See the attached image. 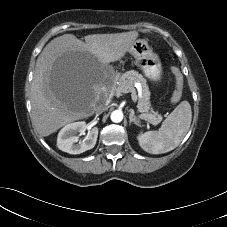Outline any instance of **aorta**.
I'll return each mask as SVG.
<instances>
[{"instance_id":"obj_1","label":"aorta","mask_w":227,"mask_h":227,"mask_svg":"<svg viewBox=\"0 0 227 227\" xmlns=\"http://www.w3.org/2000/svg\"><path fill=\"white\" fill-rule=\"evenodd\" d=\"M112 122L119 123L123 120V112L121 110H114L110 116Z\"/></svg>"}]
</instances>
